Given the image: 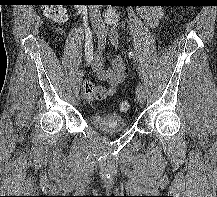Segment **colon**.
I'll use <instances>...</instances> for the list:
<instances>
[{"label": "colon", "instance_id": "colon-1", "mask_svg": "<svg viewBox=\"0 0 217 197\" xmlns=\"http://www.w3.org/2000/svg\"><path fill=\"white\" fill-rule=\"evenodd\" d=\"M45 15L56 24H63L67 20L65 8L57 0H42ZM84 93L92 99L101 100L105 97V90L101 86H95L90 81L83 83ZM131 105L128 100H121L118 108L121 112L129 111Z\"/></svg>", "mask_w": 217, "mask_h": 197}]
</instances>
